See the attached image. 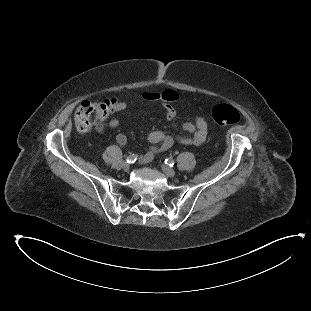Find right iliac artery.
I'll return each instance as SVG.
<instances>
[{"instance_id":"obj_1","label":"right iliac artery","mask_w":311,"mask_h":311,"mask_svg":"<svg viewBox=\"0 0 311 311\" xmlns=\"http://www.w3.org/2000/svg\"><path fill=\"white\" fill-rule=\"evenodd\" d=\"M138 158V155L136 154H131L127 157V162L128 163H134Z\"/></svg>"}]
</instances>
